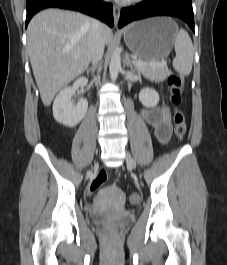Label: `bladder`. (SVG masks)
<instances>
[{
	"label": "bladder",
	"mask_w": 227,
	"mask_h": 265,
	"mask_svg": "<svg viewBox=\"0 0 227 265\" xmlns=\"http://www.w3.org/2000/svg\"><path fill=\"white\" fill-rule=\"evenodd\" d=\"M105 193L107 196L111 197L113 195H116L117 191H116V189L109 187L105 190ZM94 223L98 226H106V225L111 223V220L104 215H98L94 218Z\"/></svg>",
	"instance_id": "obj_1"
}]
</instances>
